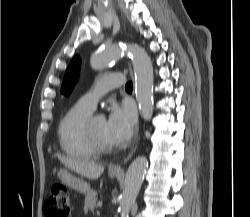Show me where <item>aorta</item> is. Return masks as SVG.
Segmentation results:
<instances>
[{
  "label": "aorta",
  "mask_w": 250,
  "mask_h": 217,
  "mask_svg": "<svg viewBox=\"0 0 250 217\" xmlns=\"http://www.w3.org/2000/svg\"><path fill=\"white\" fill-rule=\"evenodd\" d=\"M128 54L133 63L135 74V93L142 117L149 121L152 118L153 103V66L145 49L138 45H107L103 50L93 54L90 60L93 69L102 70L110 62ZM148 160L146 157L136 158L129 166L124 188L119 202L121 217H129V212L142 186Z\"/></svg>",
  "instance_id": "aorta-1"
}]
</instances>
